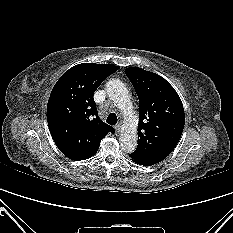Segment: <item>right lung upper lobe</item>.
<instances>
[{
	"mask_svg": "<svg viewBox=\"0 0 233 233\" xmlns=\"http://www.w3.org/2000/svg\"><path fill=\"white\" fill-rule=\"evenodd\" d=\"M119 68L113 64L82 63L66 71L53 87L47 121L54 142L66 157H92L107 133L115 132L99 119L93 95Z\"/></svg>",
	"mask_w": 233,
	"mask_h": 233,
	"instance_id": "cb5924a9",
	"label": "right lung upper lobe"
}]
</instances>
